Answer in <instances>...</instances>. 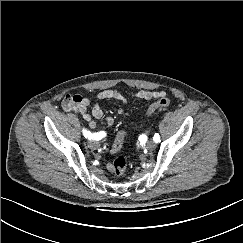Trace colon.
Listing matches in <instances>:
<instances>
[{
	"label": "colon",
	"instance_id": "obj_1",
	"mask_svg": "<svg viewBox=\"0 0 243 243\" xmlns=\"http://www.w3.org/2000/svg\"><path fill=\"white\" fill-rule=\"evenodd\" d=\"M83 98L80 95H67L63 101V106L66 110H74L81 102ZM171 104V99L168 97H162L156 102L152 103L147 110V114L151 115L153 114L156 110L167 107ZM126 138V133L125 132H120L112 146V151L113 153H117ZM127 158L124 155H118L114 162H113V172L115 173L116 176H122L127 169Z\"/></svg>",
	"mask_w": 243,
	"mask_h": 243
}]
</instances>
